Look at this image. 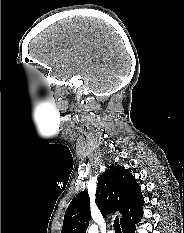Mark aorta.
<instances>
[{
    "mask_svg": "<svg viewBox=\"0 0 184 233\" xmlns=\"http://www.w3.org/2000/svg\"><path fill=\"white\" fill-rule=\"evenodd\" d=\"M88 233H98V229L95 225H92L88 229Z\"/></svg>",
    "mask_w": 184,
    "mask_h": 233,
    "instance_id": "762f6f07",
    "label": "aorta"
}]
</instances>
